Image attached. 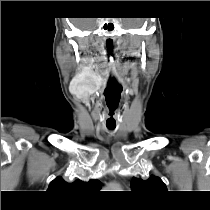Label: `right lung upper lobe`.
I'll return each instance as SVG.
<instances>
[{"label":"right lung upper lobe","instance_id":"cb5924a9","mask_svg":"<svg viewBox=\"0 0 210 210\" xmlns=\"http://www.w3.org/2000/svg\"><path fill=\"white\" fill-rule=\"evenodd\" d=\"M88 188L100 189L101 182L99 180H90L89 182L76 180L73 183H68L62 177H57L50 183L48 191L58 195H66L79 189Z\"/></svg>","mask_w":210,"mask_h":210}]
</instances>
